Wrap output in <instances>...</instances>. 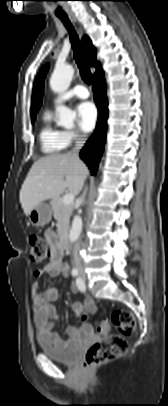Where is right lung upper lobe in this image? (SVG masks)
<instances>
[{
    "mask_svg": "<svg viewBox=\"0 0 168 406\" xmlns=\"http://www.w3.org/2000/svg\"><path fill=\"white\" fill-rule=\"evenodd\" d=\"M82 48L84 50V55L86 60L90 66L96 67V72L94 74V78L103 75V70L101 69L100 63L96 60V49L93 47L91 40L84 36L82 38ZM48 70V65H45L39 76L36 79L34 84V91H33V98H32V106H31V117L35 119L36 113L38 112L41 103H42V94H43V82L46 72Z\"/></svg>",
    "mask_w": 168,
    "mask_h": 406,
    "instance_id": "cb5924a9",
    "label": "right lung upper lobe"
}]
</instances>
